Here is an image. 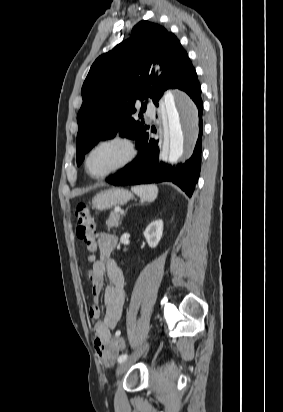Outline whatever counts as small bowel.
<instances>
[{
    "label": "small bowel",
    "mask_w": 283,
    "mask_h": 412,
    "mask_svg": "<svg viewBox=\"0 0 283 412\" xmlns=\"http://www.w3.org/2000/svg\"><path fill=\"white\" fill-rule=\"evenodd\" d=\"M117 244L114 235L100 232L96 237V246L99 251V258L92 262L88 270V277L92 286V293L95 301L89 310V315L96 320L93 326V343L98 357L106 366H111L117 352L106 355L103 351L111 337V331L115 329L122 315V308L125 301L124 276L122 270L111 257ZM108 278L109 284L104 286V279ZM104 292L105 313L100 319V309L98 299Z\"/></svg>",
    "instance_id": "1"
}]
</instances>
